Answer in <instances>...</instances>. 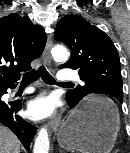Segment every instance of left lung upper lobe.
<instances>
[{
    "label": "left lung upper lobe",
    "mask_w": 130,
    "mask_h": 153,
    "mask_svg": "<svg viewBox=\"0 0 130 153\" xmlns=\"http://www.w3.org/2000/svg\"><path fill=\"white\" fill-rule=\"evenodd\" d=\"M57 41L72 51L68 62L59 68L79 69L85 83L66 93L68 102L77 104L83 97L105 94L122 103V77L119 55L112 40L80 15H67L57 23L54 33Z\"/></svg>",
    "instance_id": "1"
}]
</instances>
